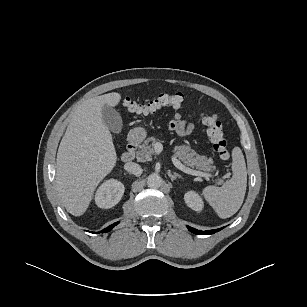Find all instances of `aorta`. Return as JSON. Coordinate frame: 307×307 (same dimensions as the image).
<instances>
[{
  "mask_svg": "<svg viewBox=\"0 0 307 307\" xmlns=\"http://www.w3.org/2000/svg\"><path fill=\"white\" fill-rule=\"evenodd\" d=\"M162 184L160 175L152 173L147 177V185L150 188H159Z\"/></svg>",
  "mask_w": 307,
  "mask_h": 307,
  "instance_id": "obj_1",
  "label": "aorta"
}]
</instances>
